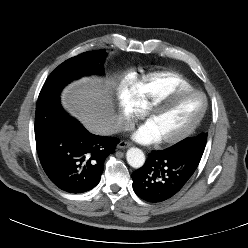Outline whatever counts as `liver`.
Wrapping results in <instances>:
<instances>
[{
	"label": "liver",
	"mask_w": 248,
	"mask_h": 248,
	"mask_svg": "<svg viewBox=\"0 0 248 248\" xmlns=\"http://www.w3.org/2000/svg\"><path fill=\"white\" fill-rule=\"evenodd\" d=\"M113 85L111 79L84 77L64 89L62 104L88 131L108 135L115 118L110 96Z\"/></svg>",
	"instance_id": "obj_1"
}]
</instances>
